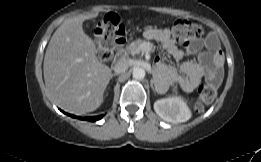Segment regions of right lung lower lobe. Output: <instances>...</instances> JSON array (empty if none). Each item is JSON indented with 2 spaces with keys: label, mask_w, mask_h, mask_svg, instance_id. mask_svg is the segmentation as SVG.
<instances>
[{
  "label": "right lung lower lobe",
  "mask_w": 261,
  "mask_h": 162,
  "mask_svg": "<svg viewBox=\"0 0 261 162\" xmlns=\"http://www.w3.org/2000/svg\"><path fill=\"white\" fill-rule=\"evenodd\" d=\"M69 116H71L73 118H80V119H83V120L92 121V122L99 120L103 117V115H100V116H92V117L81 118V117H78V116H74L72 114H69Z\"/></svg>",
  "instance_id": "1"
}]
</instances>
